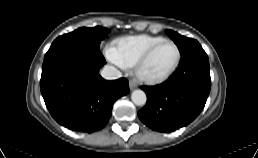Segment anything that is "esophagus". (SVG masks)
<instances>
[{
  "instance_id": "obj_1",
  "label": "esophagus",
  "mask_w": 258,
  "mask_h": 158,
  "mask_svg": "<svg viewBox=\"0 0 258 158\" xmlns=\"http://www.w3.org/2000/svg\"><path fill=\"white\" fill-rule=\"evenodd\" d=\"M138 86V81L135 78L129 80V88L132 90Z\"/></svg>"
}]
</instances>
